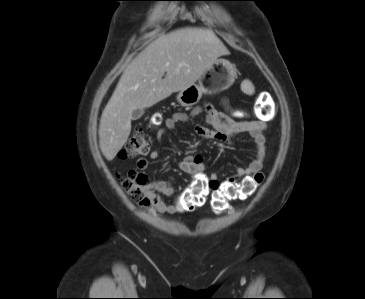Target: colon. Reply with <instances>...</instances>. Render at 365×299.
Wrapping results in <instances>:
<instances>
[{
  "instance_id": "colon-1",
  "label": "colon",
  "mask_w": 365,
  "mask_h": 299,
  "mask_svg": "<svg viewBox=\"0 0 365 299\" xmlns=\"http://www.w3.org/2000/svg\"><path fill=\"white\" fill-rule=\"evenodd\" d=\"M247 89V86L244 85ZM270 111L267 107L260 110V117H267ZM234 116L240 117L243 115L242 111H235ZM150 121L153 125L160 122L157 115H152ZM149 144L141 129H137L125 147L119 152L121 159L134 157L139 154H144L148 151ZM265 175L263 173H256L252 176H246L241 181L230 183H204L196 181L188 186L181 195L176 204L178 212H189L202 206L209 194H211V207L215 213H221L225 210L227 203L235 199H246L251 196L257 187L263 182ZM120 184L122 189L128 194L131 200L143 208H149L153 200L148 192L147 177L135 170L129 169L127 173L120 177Z\"/></svg>"
}]
</instances>
